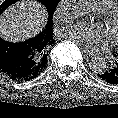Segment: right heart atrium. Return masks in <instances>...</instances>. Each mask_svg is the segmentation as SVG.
Segmentation results:
<instances>
[{
    "mask_svg": "<svg viewBox=\"0 0 118 118\" xmlns=\"http://www.w3.org/2000/svg\"><path fill=\"white\" fill-rule=\"evenodd\" d=\"M67 1L69 0H63V4L66 3ZM62 8H58L54 14V17L57 21H60L61 20V15H62Z\"/></svg>",
    "mask_w": 118,
    "mask_h": 118,
    "instance_id": "obj_1",
    "label": "right heart atrium"
}]
</instances>
